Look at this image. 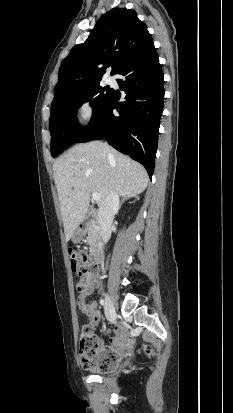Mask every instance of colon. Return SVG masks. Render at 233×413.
Wrapping results in <instances>:
<instances>
[{
  "instance_id": "colon-1",
  "label": "colon",
  "mask_w": 233,
  "mask_h": 413,
  "mask_svg": "<svg viewBox=\"0 0 233 413\" xmlns=\"http://www.w3.org/2000/svg\"><path fill=\"white\" fill-rule=\"evenodd\" d=\"M69 257L72 271L79 279L78 290L82 292L91 285L97 266L90 260L85 251L70 249ZM145 349L147 352L151 351L148 346ZM79 356L85 369L99 372L114 369L120 360L119 355L112 351H108L103 357L101 356L99 340L89 325L82 328Z\"/></svg>"
}]
</instances>
